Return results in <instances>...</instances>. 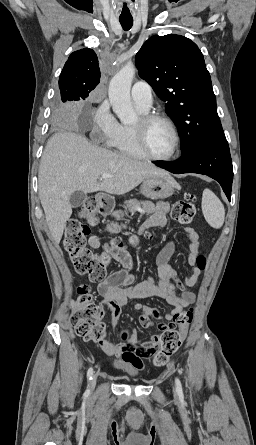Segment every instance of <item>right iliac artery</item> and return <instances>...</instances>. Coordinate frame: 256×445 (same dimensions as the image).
<instances>
[{"instance_id":"1","label":"right iliac artery","mask_w":256,"mask_h":445,"mask_svg":"<svg viewBox=\"0 0 256 445\" xmlns=\"http://www.w3.org/2000/svg\"><path fill=\"white\" fill-rule=\"evenodd\" d=\"M93 372H94V371H93V368H92V367L88 369V372H87V378H88V381H90V380L92 379Z\"/></svg>"}]
</instances>
